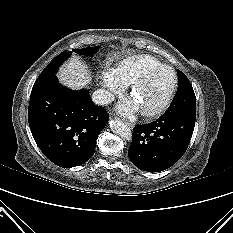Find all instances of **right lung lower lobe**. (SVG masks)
I'll use <instances>...</instances> for the list:
<instances>
[{"label": "right lung lower lobe", "instance_id": "right-lung-lower-lobe-1", "mask_svg": "<svg viewBox=\"0 0 233 233\" xmlns=\"http://www.w3.org/2000/svg\"><path fill=\"white\" fill-rule=\"evenodd\" d=\"M108 120L104 108L92 102L86 89L70 90L56 76L32 89L28 108L32 135L43 154L60 167L89 160Z\"/></svg>", "mask_w": 233, "mask_h": 233}]
</instances>
